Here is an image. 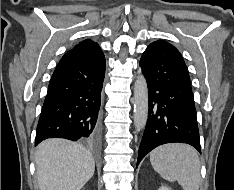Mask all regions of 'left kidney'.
I'll return each mask as SVG.
<instances>
[{"label": "left kidney", "instance_id": "obj_1", "mask_svg": "<svg viewBox=\"0 0 234 190\" xmlns=\"http://www.w3.org/2000/svg\"><path fill=\"white\" fill-rule=\"evenodd\" d=\"M158 190H172L169 187L162 185Z\"/></svg>", "mask_w": 234, "mask_h": 190}]
</instances>
